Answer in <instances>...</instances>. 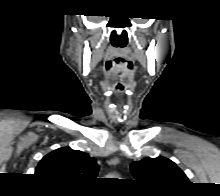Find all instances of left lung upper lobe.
Wrapping results in <instances>:
<instances>
[{
  "label": "left lung upper lobe",
  "instance_id": "5c2ea615",
  "mask_svg": "<svg viewBox=\"0 0 220 196\" xmlns=\"http://www.w3.org/2000/svg\"><path fill=\"white\" fill-rule=\"evenodd\" d=\"M130 167L137 181L147 186L174 190L189 183L184 172L165 157L146 158Z\"/></svg>",
  "mask_w": 220,
  "mask_h": 196
}]
</instances>
